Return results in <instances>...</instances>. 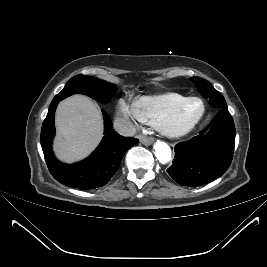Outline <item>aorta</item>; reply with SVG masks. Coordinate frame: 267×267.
Segmentation results:
<instances>
[{
    "mask_svg": "<svg viewBox=\"0 0 267 267\" xmlns=\"http://www.w3.org/2000/svg\"><path fill=\"white\" fill-rule=\"evenodd\" d=\"M154 154L162 164L171 160V149L165 142L157 141L154 144Z\"/></svg>",
    "mask_w": 267,
    "mask_h": 267,
    "instance_id": "762f6f07",
    "label": "aorta"
}]
</instances>
